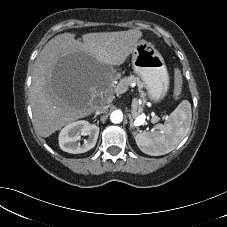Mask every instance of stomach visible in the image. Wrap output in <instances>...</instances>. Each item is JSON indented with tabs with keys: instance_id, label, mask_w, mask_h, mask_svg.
Instances as JSON below:
<instances>
[{
	"instance_id": "stomach-1",
	"label": "stomach",
	"mask_w": 227,
	"mask_h": 227,
	"mask_svg": "<svg viewBox=\"0 0 227 227\" xmlns=\"http://www.w3.org/2000/svg\"><path fill=\"white\" fill-rule=\"evenodd\" d=\"M132 67L145 84L147 95L160 102L169 89V75L162 55L145 40H139L132 51Z\"/></svg>"
}]
</instances>
